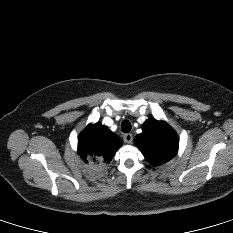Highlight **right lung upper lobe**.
<instances>
[{
	"label": "right lung upper lobe",
	"mask_w": 233,
	"mask_h": 233,
	"mask_svg": "<svg viewBox=\"0 0 233 233\" xmlns=\"http://www.w3.org/2000/svg\"><path fill=\"white\" fill-rule=\"evenodd\" d=\"M121 146L117 135L100 123L88 125L78 139V153L90 164L109 163Z\"/></svg>",
	"instance_id": "cb5924a9"
}]
</instances>
